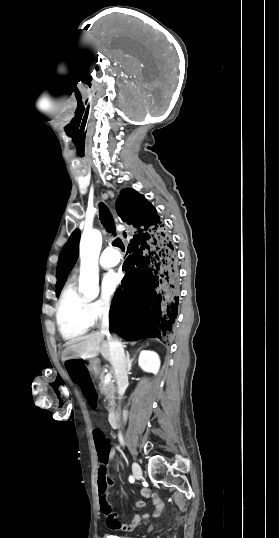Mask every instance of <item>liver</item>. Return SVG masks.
<instances>
[{
	"instance_id": "1",
	"label": "liver",
	"mask_w": 279,
	"mask_h": 538,
	"mask_svg": "<svg viewBox=\"0 0 279 538\" xmlns=\"http://www.w3.org/2000/svg\"><path fill=\"white\" fill-rule=\"evenodd\" d=\"M64 354H71L66 360H72V358H96L98 354H102L105 360L110 362V348L108 342L104 340V334H88L83 336L82 340L77 342H67Z\"/></svg>"
}]
</instances>
